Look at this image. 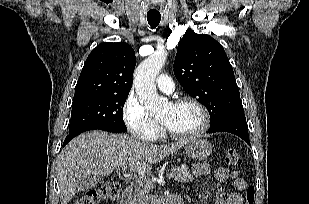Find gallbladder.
Wrapping results in <instances>:
<instances>
[{"mask_svg":"<svg viewBox=\"0 0 309 204\" xmlns=\"http://www.w3.org/2000/svg\"><path fill=\"white\" fill-rule=\"evenodd\" d=\"M100 181L99 177L96 176H85L80 179L77 183V192L85 191L91 189Z\"/></svg>","mask_w":309,"mask_h":204,"instance_id":"obj_1","label":"gallbladder"}]
</instances>
